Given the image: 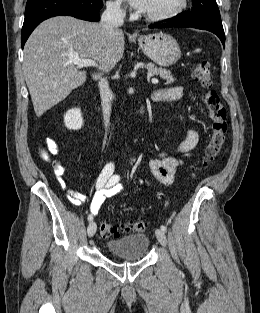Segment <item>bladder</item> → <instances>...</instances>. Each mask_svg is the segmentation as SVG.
Here are the masks:
<instances>
[{
    "instance_id": "1",
    "label": "bladder",
    "mask_w": 260,
    "mask_h": 313,
    "mask_svg": "<svg viewBox=\"0 0 260 313\" xmlns=\"http://www.w3.org/2000/svg\"><path fill=\"white\" fill-rule=\"evenodd\" d=\"M149 238L146 234L138 233L107 242L106 249L111 255H116L128 262L143 259L148 252Z\"/></svg>"
}]
</instances>
